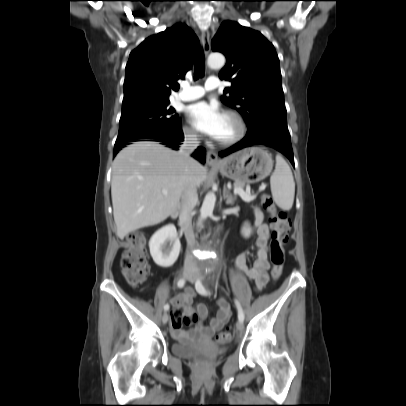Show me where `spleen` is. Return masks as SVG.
<instances>
[{"label": "spleen", "mask_w": 406, "mask_h": 406, "mask_svg": "<svg viewBox=\"0 0 406 406\" xmlns=\"http://www.w3.org/2000/svg\"><path fill=\"white\" fill-rule=\"evenodd\" d=\"M274 202L281 209L290 210L295 196V182L292 171L282 156H276L275 170L270 177Z\"/></svg>", "instance_id": "1"}]
</instances>
